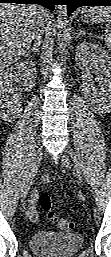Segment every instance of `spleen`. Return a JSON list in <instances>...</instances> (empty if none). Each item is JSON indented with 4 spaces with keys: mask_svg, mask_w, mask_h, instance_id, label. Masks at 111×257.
I'll list each match as a JSON object with an SVG mask.
<instances>
[{
    "mask_svg": "<svg viewBox=\"0 0 111 257\" xmlns=\"http://www.w3.org/2000/svg\"><path fill=\"white\" fill-rule=\"evenodd\" d=\"M93 16H103L104 20H107L108 23L111 24V7H93L91 8ZM108 40L111 42V33L106 35Z\"/></svg>",
    "mask_w": 111,
    "mask_h": 257,
    "instance_id": "spleen-1",
    "label": "spleen"
}]
</instances>
